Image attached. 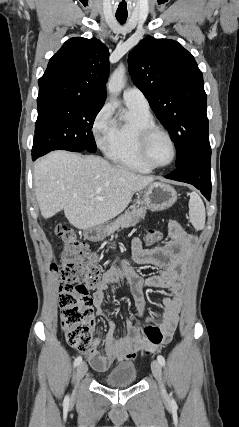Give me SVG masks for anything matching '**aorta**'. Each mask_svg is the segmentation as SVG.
<instances>
[{
    "instance_id": "aorta-1",
    "label": "aorta",
    "mask_w": 239,
    "mask_h": 427,
    "mask_svg": "<svg viewBox=\"0 0 239 427\" xmlns=\"http://www.w3.org/2000/svg\"><path fill=\"white\" fill-rule=\"evenodd\" d=\"M125 68L119 66L111 75L108 82V90L113 95H118L125 84Z\"/></svg>"
}]
</instances>
